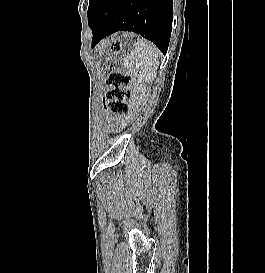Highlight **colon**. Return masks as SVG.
<instances>
[{
	"label": "colon",
	"mask_w": 265,
	"mask_h": 273,
	"mask_svg": "<svg viewBox=\"0 0 265 273\" xmlns=\"http://www.w3.org/2000/svg\"><path fill=\"white\" fill-rule=\"evenodd\" d=\"M119 49L120 43L114 42L112 50L116 52ZM106 82L109 88L104 101L108 112L114 115L127 113L131 76L125 72H112L107 76Z\"/></svg>",
	"instance_id": "colon-1"
}]
</instances>
